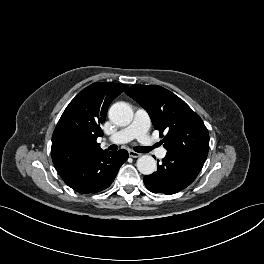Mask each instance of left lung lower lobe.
<instances>
[{"label": "left lung lower lobe", "instance_id": "0a47b994", "mask_svg": "<svg viewBox=\"0 0 264 264\" xmlns=\"http://www.w3.org/2000/svg\"><path fill=\"white\" fill-rule=\"evenodd\" d=\"M204 163L189 156L168 153L157 171L143 178L148 190L166 195L177 193L189 186L201 171Z\"/></svg>", "mask_w": 264, "mask_h": 264}]
</instances>
